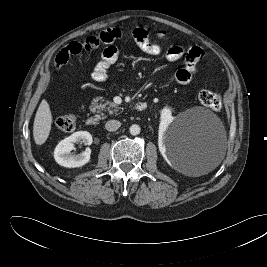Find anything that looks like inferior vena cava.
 I'll use <instances>...</instances> for the list:
<instances>
[{
	"label": "inferior vena cava",
	"instance_id": "1",
	"mask_svg": "<svg viewBox=\"0 0 267 267\" xmlns=\"http://www.w3.org/2000/svg\"><path fill=\"white\" fill-rule=\"evenodd\" d=\"M120 126L121 123L118 120H109L105 124V128L108 131H116Z\"/></svg>",
	"mask_w": 267,
	"mask_h": 267
}]
</instances>
